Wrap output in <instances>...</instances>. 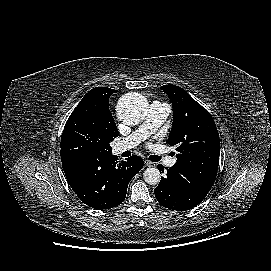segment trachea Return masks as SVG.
<instances>
[{
  "instance_id": "1",
  "label": "trachea",
  "mask_w": 271,
  "mask_h": 271,
  "mask_svg": "<svg viewBox=\"0 0 271 271\" xmlns=\"http://www.w3.org/2000/svg\"><path fill=\"white\" fill-rule=\"evenodd\" d=\"M160 159H161V157L156 156V155H154V156H152V157L150 158V160L153 161V162H157V161H159Z\"/></svg>"
}]
</instances>
